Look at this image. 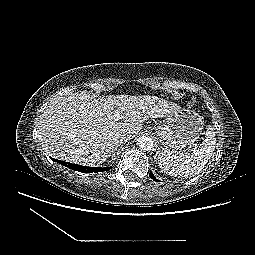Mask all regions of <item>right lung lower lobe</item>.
Segmentation results:
<instances>
[{"label": "right lung lower lobe", "instance_id": "obj_1", "mask_svg": "<svg viewBox=\"0 0 255 255\" xmlns=\"http://www.w3.org/2000/svg\"><path fill=\"white\" fill-rule=\"evenodd\" d=\"M53 161L61 164V165H64L66 167H69L75 171H78V172H83V173H97V172H101V171H107L109 169H111L112 167H104V168H96V167H87V166H82V165H78V164H72V163H69V162H65V161H61V160H57V159H54V158H51Z\"/></svg>", "mask_w": 255, "mask_h": 255}]
</instances>
